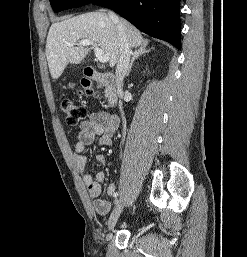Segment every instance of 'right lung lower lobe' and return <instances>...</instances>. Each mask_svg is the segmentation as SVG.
<instances>
[{"label":"right lung lower lobe","instance_id":"1","mask_svg":"<svg viewBox=\"0 0 247 257\" xmlns=\"http://www.w3.org/2000/svg\"><path fill=\"white\" fill-rule=\"evenodd\" d=\"M111 8L139 30L180 49L179 0H95Z\"/></svg>","mask_w":247,"mask_h":257}]
</instances>
